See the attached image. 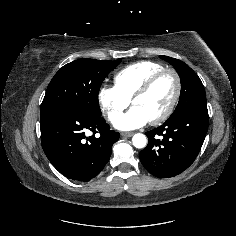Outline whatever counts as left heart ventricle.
<instances>
[{
    "instance_id": "left-heart-ventricle-1",
    "label": "left heart ventricle",
    "mask_w": 236,
    "mask_h": 236,
    "mask_svg": "<svg viewBox=\"0 0 236 236\" xmlns=\"http://www.w3.org/2000/svg\"><path fill=\"white\" fill-rule=\"evenodd\" d=\"M175 91V81L170 74L164 75L144 96L136 99L133 106L139 108L150 120L160 116L168 107Z\"/></svg>"
}]
</instances>
